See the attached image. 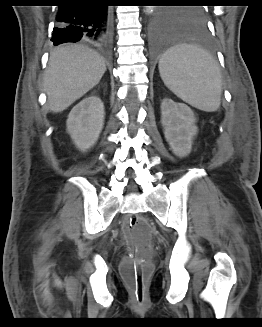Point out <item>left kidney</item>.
I'll return each mask as SVG.
<instances>
[{
	"instance_id": "5707ae66",
	"label": "left kidney",
	"mask_w": 262,
	"mask_h": 327,
	"mask_svg": "<svg viewBox=\"0 0 262 327\" xmlns=\"http://www.w3.org/2000/svg\"><path fill=\"white\" fill-rule=\"evenodd\" d=\"M161 113L164 135L172 152L180 158L186 157L198 133L194 112L184 103L165 98L161 104Z\"/></svg>"
}]
</instances>
